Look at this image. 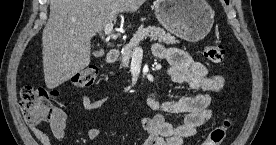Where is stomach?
<instances>
[{
    "instance_id": "0dacf381",
    "label": "stomach",
    "mask_w": 276,
    "mask_h": 145,
    "mask_svg": "<svg viewBox=\"0 0 276 145\" xmlns=\"http://www.w3.org/2000/svg\"><path fill=\"white\" fill-rule=\"evenodd\" d=\"M155 16L167 31L189 42L206 37L214 23L213 10L205 0H158Z\"/></svg>"
}]
</instances>
